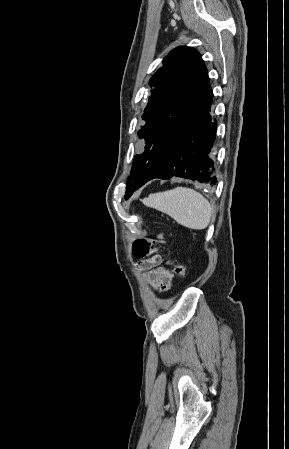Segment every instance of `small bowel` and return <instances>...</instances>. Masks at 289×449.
<instances>
[{
    "label": "small bowel",
    "instance_id": "1",
    "mask_svg": "<svg viewBox=\"0 0 289 449\" xmlns=\"http://www.w3.org/2000/svg\"><path fill=\"white\" fill-rule=\"evenodd\" d=\"M138 267L144 272L151 286L157 291H168L171 288L174 274L161 265V257L159 255L141 259L138 262Z\"/></svg>",
    "mask_w": 289,
    "mask_h": 449
}]
</instances>
